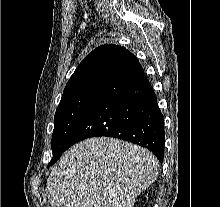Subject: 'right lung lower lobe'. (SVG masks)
<instances>
[{"label": "right lung lower lobe", "mask_w": 220, "mask_h": 207, "mask_svg": "<svg viewBox=\"0 0 220 207\" xmlns=\"http://www.w3.org/2000/svg\"><path fill=\"white\" fill-rule=\"evenodd\" d=\"M123 139L164 155V121L157 98L139 61L108 77L69 140V147L90 137ZM68 147V148H69Z\"/></svg>", "instance_id": "right-lung-lower-lobe-1"}]
</instances>
